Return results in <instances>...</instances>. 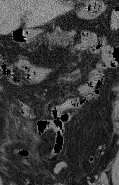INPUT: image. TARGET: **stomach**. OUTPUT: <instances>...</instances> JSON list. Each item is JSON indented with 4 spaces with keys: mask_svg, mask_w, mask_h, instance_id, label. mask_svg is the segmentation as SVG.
<instances>
[{
    "mask_svg": "<svg viewBox=\"0 0 119 185\" xmlns=\"http://www.w3.org/2000/svg\"><path fill=\"white\" fill-rule=\"evenodd\" d=\"M105 9L101 0H86L85 6L78 12V16L82 19L92 20L101 15ZM37 34V31H28L24 34L25 40L30 41Z\"/></svg>",
    "mask_w": 119,
    "mask_h": 185,
    "instance_id": "obj_1",
    "label": "stomach"
}]
</instances>
